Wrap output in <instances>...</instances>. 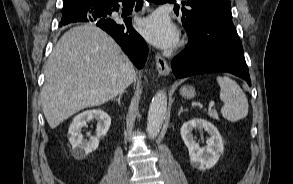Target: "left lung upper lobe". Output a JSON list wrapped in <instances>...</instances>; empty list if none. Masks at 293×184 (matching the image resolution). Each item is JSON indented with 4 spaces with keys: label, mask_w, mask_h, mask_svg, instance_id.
Segmentation results:
<instances>
[{
    "label": "left lung upper lobe",
    "mask_w": 293,
    "mask_h": 184,
    "mask_svg": "<svg viewBox=\"0 0 293 184\" xmlns=\"http://www.w3.org/2000/svg\"><path fill=\"white\" fill-rule=\"evenodd\" d=\"M184 4L191 7V9L182 8V21L184 22L193 24L207 14L232 19L229 0H187Z\"/></svg>",
    "instance_id": "left-lung-upper-lobe-1"
}]
</instances>
